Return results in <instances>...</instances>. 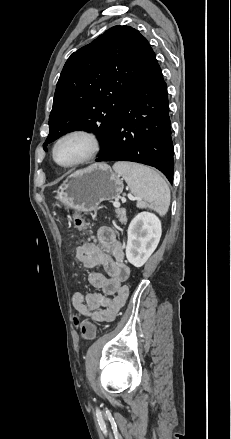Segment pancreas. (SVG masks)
<instances>
[{"mask_svg": "<svg viewBox=\"0 0 231 439\" xmlns=\"http://www.w3.org/2000/svg\"><path fill=\"white\" fill-rule=\"evenodd\" d=\"M116 214H117V218L121 224L127 223L126 212L124 209H116Z\"/></svg>", "mask_w": 231, "mask_h": 439, "instance_id": "1", "label": "pancreas"}]
</instances>
